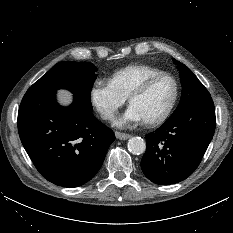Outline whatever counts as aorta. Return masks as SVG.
I'll list each match as a JSON object with an SVG mask.
<instances>
[{"label": "aorta", "instance_id": "obj_1", "mask_svg": "<svg viewBox=\"0 0 233 233\" xmlns=\"http://www.w3.org/2000/svg\"><path fill=\"white\" fill-rule=\"evenodd\" d=\"M128 150L134 155H140L146 150V143L141 137H132L128 141Z\"/></svg>", "mask_w": 233, "mask_h": 233}]
</instances>
